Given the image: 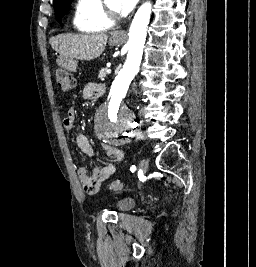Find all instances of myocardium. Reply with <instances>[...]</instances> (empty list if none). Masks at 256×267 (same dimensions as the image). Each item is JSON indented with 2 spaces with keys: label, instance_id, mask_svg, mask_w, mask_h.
Wrapping results in <instances>:
<instances>
[{
  "label": "myocardium",
  "instance_id": "f54148a6",
  "mask_svg": "<svg viewBox=\"0 0 256 267\" xmlns=\"http://www.w3.org/2000/svg\"><path fill=\"white\" fill-rule=\"evenodd\" d=\"M110 1H113V0H105V11L103 13V22H102V26L110 21L113 22V25L115 24V21H116V18H117V7L115 6L114 8L111 7L110 5ZM113 27V26H112ZM111 27V28H112ZM110 28V29H111ZM110 29L108 30H105L103 27H102V31L104 32H107L109 31Z\"/></svg>",
  "mask_w": 256,
  "mask_h": 267
}]
</instances>
